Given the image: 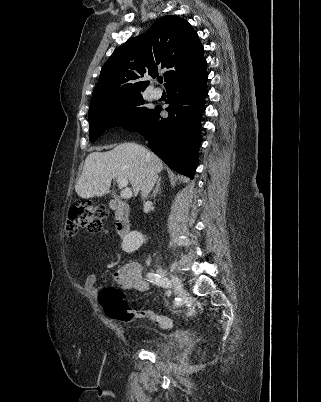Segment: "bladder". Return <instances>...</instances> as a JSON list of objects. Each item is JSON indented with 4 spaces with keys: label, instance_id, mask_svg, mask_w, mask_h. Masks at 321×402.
<instances>
[{
    "label": "bladder",
    "instance_id": "31cf9c89",
    "mask_svg": "<svg viewBox=\"0 0 321 402\" xmlns=\"http://www.w3.org/2000/svg\"><path fill=\"white\" fill-rule=\"evenodd\" d=\"M174 351V347H166L161 349V353L164 354H171Z\"/></svg>",
    "mask_w": 321,
    "mask_h": 402
}]
</instances>
